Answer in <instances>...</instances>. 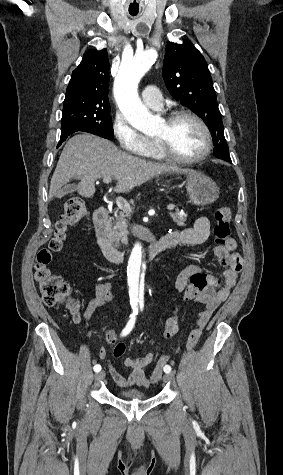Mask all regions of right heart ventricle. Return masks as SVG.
Returning a JSON list of instances; mask_svg holds the SVG:
<instances>
[{"label": "right heart ventricle", "instance_id": "e07e8e85", "mask_svg": "<svg viewBox=\"0 0 283 475\" xmlns=\"http://www.w3.org/2000/svg\"><path fill=\"white\" fill-rule=\"evenodd\" d=\"M149 155L151 158H154V159H157V160H161L159 154H158V150H157V147H156V143L154 140H151V148H150V151H149Z\"/></svg>", "mask_w": 283, "mask_h": 475}]
</instances>
